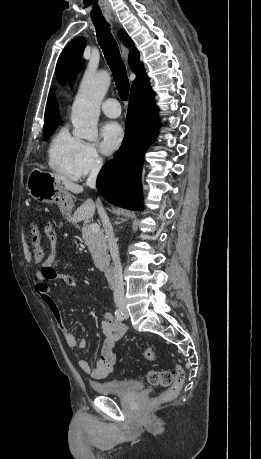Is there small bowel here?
I'll list each match as a JSON object with an SVG mask.
<instances>
[{
    "mask_svg": "<svg viewBox=\"0 0 261 459\" xmlns=\"http://www.w3.org/2000/svg\"><path fill=\"white\" fill-rule=\"evenodd\" d=\"M57 226L58 224H48L45 230L47 233L52 234ZM50 260L51 259H48L45 263H43L38 270L35 291L49 309L55 323L61 330L66 343L70 347L84 349L87 346L86 340L83 338H77V336L68 329L57 303L50 294V288L47 283L48 281H61L66 285L77 287L78 282L71 275L56 272L50 266ZM102 331L104 334V341L101 347L100 357L96 365L92 366L86 358H81L78 362L79 367L94 379L106 378L113 372L117 360L114 348L125 334L126 326L113 314L105 313L102 320Z\"/></svg>",
    "mask_w": 261,
    "mask_h": 459,
    "instance_id": "small-bowel-1",
    "label": "small bowel"
}]
</instances>
